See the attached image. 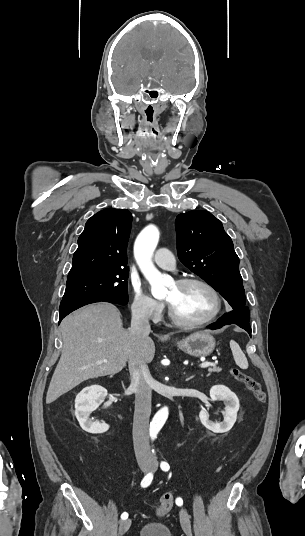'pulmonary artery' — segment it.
Returning <instances> with one entry per match:
<instances>
[{"label":"pulmonary artery","instance_id":"1","mask_svg":"<svg viewBox=\"0 0 305 536\" xmlns=\"http://www.w3.org/2000/svg\"><path fill=\"white\" fill-rule=\"evenodd\" d=\"M169 254L166 248H160L153 254L152 260L161 268L174 270L176 264L175 259Z\"/></svg>","mask_w":305,"mask_h":536}]
</instances>
